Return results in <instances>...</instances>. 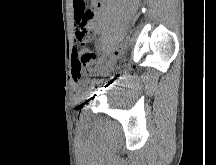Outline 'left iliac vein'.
Segmentation results:
<instances>
[{"mask_svg": "<svg viewBox=\"0 0 216 165\" xmlns=\"http://www.w3.org/2000/svg\"><path fill=\"white\" fill-rule=\"evenodd\" d=\"M117 59H118L117 55H113L112 57H110L108 59V61L105 64V71L106 72L110 71L113 68V66L115 65Z\"/></svg>", "mask_w": 216, "mask_h": 165, "instance_id": "1", "label": "left iliac vein"}]
</instances>
